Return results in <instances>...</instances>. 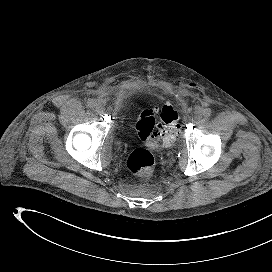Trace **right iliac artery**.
<instances>
[{
  "mask_svg": "<svg viewBox=\"0 0 272 272\" xmlns=\"http://www.w3.org/2000/svg\"><path fill=\"white\" fill-rule=\"evenodd\" d=\"M95 100L94 99H88L87 100V106H89L90 108L94 107L95 106Z\"/></svg>",
  "mask_w": 272,
  "mask_h": 272,
  "instance_id": "1",
  "label": "right iliac artery"
}]
</instances>
